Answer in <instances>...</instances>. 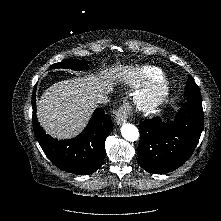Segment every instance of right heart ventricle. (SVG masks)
I'll list each match as a JSON object with an SVG mask.
<instances>
[{
	"label": "right heart ventricle",
	"mask_w": 221,
	"mask_h": 221,
	"mask_svg": "<svg viewBox=\"0 0 221 221\" xmlns=\"http://www.w3.org/2000/svg\"><path fill=\"white\" fill-rule=\"evenodd\" d=\"M163 72L157 67L145 66L137 69L129 76V81L132 85L139 86L147 84L163 78Z\"/></svg>",
	"instance_id": "1"
}]
</instances>
